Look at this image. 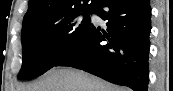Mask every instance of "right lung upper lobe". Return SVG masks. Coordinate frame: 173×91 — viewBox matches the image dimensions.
Segmentation results:
<instances>
[{"label": "right lung upper lobe", "mask_w": 173, "mask_h": 91, "mask_svg": "<svg viewBox=\"0 0 173 91\" xmlns=\"http://www.w3.org/2000/svg\"><path fill=\"white\" fill-rule=\"evenodd\" d=\"M29 0V8L23 19V28L68 14L95 7L98 0Z\"/></svg>", "instance_id": "cb5924a9"}]
</instances>
